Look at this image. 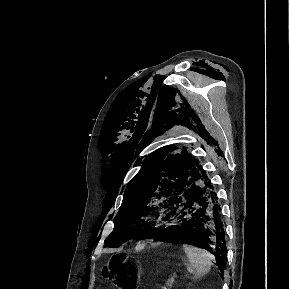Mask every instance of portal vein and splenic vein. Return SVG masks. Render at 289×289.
<instances>
[{
	"mask_svg": "<svg viewBox=\"0 0 289 289\" xmlns=\"http://www.w3.org/2000/svg\"><path fill=\"white\" fill-rule=\"evenodd\" d=\"M174 282H175V279H174V278H169V279L167 280V282H166V287H165V289H167V287L172 286V285L174 284Z\"/></svg>",
	"mask_w": 289,
	"mask_h": 289,
	"instance_id": "obj_1",
	"label": "portal vein and splenic vein"
}]
</instances>
